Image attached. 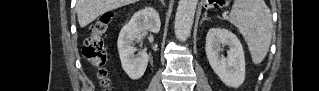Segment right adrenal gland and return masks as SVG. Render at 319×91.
<instances>
[{
	"label": "right adrenal gland",
	"mask_w": 319,
	"mask_h": 91,
	"mask_svg": "<svg viewBox=\"0 0 319 91\" xmlns=\"http://www.w3.org/2000/svg\"><path fill=\"white\" fill-rule=\"evenodd\" d=\"M160 2H162V4L164 5V1L163 0H160Z\"/></svg>",
	"instance_id": "obj_1"
}]
</instances>
